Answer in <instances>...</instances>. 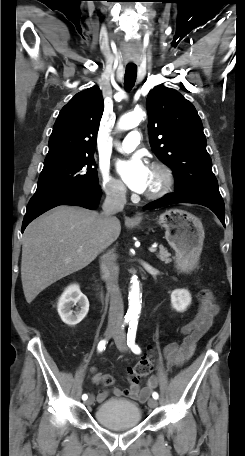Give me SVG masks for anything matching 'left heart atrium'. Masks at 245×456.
Masks as SVG:
<instances>
[{
	"label": "left heart atrium",
	"instance_id": "left-heart-atrium-1",
	"mask_svg": "<svg viewBox=\"0 0 245 456\" xmlns=\"http://www.w3.org/2000/svg\"><path fill=\"white\" fill-rule=\"evenodd\" d=\"M116 169L131 190L138 193H142L146 190L149 168L142 161L140 156L118 161Z\"/></svg>",
	"mask_w": 245,
	"mask_h": 456
}]
</instances>
